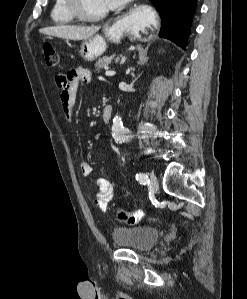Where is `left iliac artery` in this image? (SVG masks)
I'll return each instance as SVG.
<instances>
[{
	"instance_id": "left-iliac-artery-1",
	"label": "left iliac artery",
	"mask_w": 247,
	"mask_h": 299,
	"mask_svg": "<svg viewBox=\"0 0 247 299\" xmlns=\"http://www.w3.org/2000/svg\"><path fill=\"white\" fill-rule=\"evenodd\" d=\"M136 179L139 181L140 184H149L148 176L145 173H139L136 175Z\"/></svg>"
}]
</instances>
